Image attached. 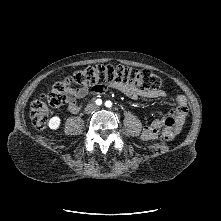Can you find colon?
Here are the masks:
<instances>
[{
	"mask_svg": "<svg viewBox=\"0 0 221 221\" xmlns=\"http://www.w3.org/2000/svg\"><path fill=\"white\" fill-rule=\"evenodd\" d=\"M112 82H121L134 86L142 91H158L163 87L162 79L146 69H136L129 66L99 65L85 68L63 80L56 82L47 94L34 100L30 107L32 124L39 129L46 127L49 106H63L72 91L80 88L96 90L100 86ZM176 120L168 117L164 120L162 129L163 142H170L176 134Z\"/></svg>",
	"mask_w": 221,
	"mask_h": 221,
	"instance_id": "colon-1",
	"label": "colon"
}]
</instances>
